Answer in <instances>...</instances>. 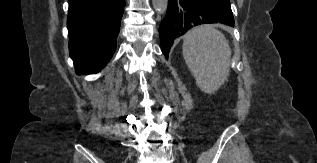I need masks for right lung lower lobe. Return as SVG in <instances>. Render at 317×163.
<instances>
[{
	"instance_id": "98d812e1",
	"label": "right lung lower lobe",
	"mask_w": 317,
	"mask_h": 163,
	"mask_svg": "<svg viewBox=\"0 0 317 163\" xmlns=\"http://www.w3.org/2000/svg\"><path fill=\"white\" fill-rule=\"evenodd\" d=\"M68 2L69 52L76 73H97L115 52L124 0Z\"/></svg>"
}]
</instances>
